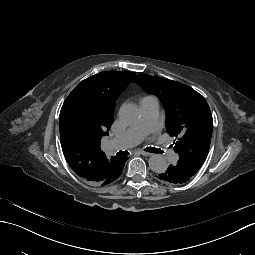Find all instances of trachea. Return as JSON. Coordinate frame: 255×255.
<instances>
[{
    "label": "trachea",
    "instance_id": "trachea-1",
    "mask_svg": "<svg viewBox=\"0 0 255 255\" xmlns=\"http://www.w3.org/2000/svg\"><path fill=\"white\" fill-rule=\"evenodd\" d=\"M145 151L147 152H151V153H164V150H161L160 148H155V147H148L145 149ZM128 152H124V151H119L117 153V155H127Z\"/></svg>",
    "mask_w": 255,
    "mask_h": 255
}]
</instances>
